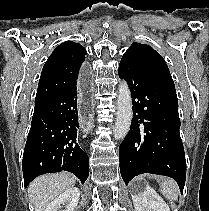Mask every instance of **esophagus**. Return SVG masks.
Wrapping results in <instances>:
<instances>
[{
	"mask_svg": "<svg viewBox=\"0 0 209 211\" xmlns=\"http://www.w3.org/2000/svg\"><path fill=\"white\" fill-rule=\"evenodd\" d=\"M90 72H92L91 64H82L81 74H78L80 93H78L76 106L79 109L80 130H84L85 133L93 130V121H96L95 113L92 112V109H94V94L91 93V91H95V86L93 77H90Z\"/></svg>",
	"mask_w": 209,
	"mask_h": 211,
	"instance_id": "esophagus-1",
	"label": "esophagus"
}]
</instances>
